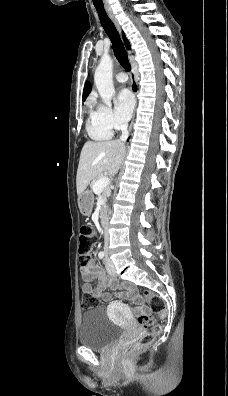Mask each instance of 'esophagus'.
I'll use <instances>...</instances> for the list:
<instances>
[{"label": "esophagus", "mask_w": 228, "mask_h": 396, "mask_svg": "<svg viewBox=\"0 0 228 396\" xmlns=\"http://www.w3.org/2000/svg\"><path fill=\"white\" fill-rule=\"evenodd\" d=\"M106 11H107V13H108L110 19H111V20L113 21V23L115 24V26H116V28L118 29V31L121 32V27H120V25H119V23H118V21H117L115 15H114V13L112 12L111 8H110V7H106ZM134 118H135V115L133 116V119H132V121H131L129 130H131V128H132V125H133V122H134Z\"/></svg>", "instance_id": "obj_1"}]
</instances>
